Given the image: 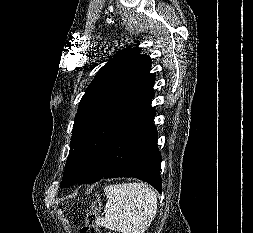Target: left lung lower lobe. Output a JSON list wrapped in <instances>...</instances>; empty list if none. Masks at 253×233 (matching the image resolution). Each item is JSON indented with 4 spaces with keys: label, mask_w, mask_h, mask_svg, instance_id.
I'll return each mask as SVG.
<instances>
[{
    "label": "left lung lower lobe",
    "mask_w": 253,
    "mask_h": 233,
    "mask_svg": "<svg viewBox=\"0 0 253 233\" xmlns=\"http://www.w3.org/2000/svg\"><path fill=\"white\" fill-rule=\"evenodd\" d=\"M152 88V87H151ZM149 89L111 133L87 174L77 184L135 177L162 192L161 155L154 127V91Z\"/></svg>",
    "instance_id": "0a47b994"
}]
</instances>
